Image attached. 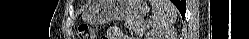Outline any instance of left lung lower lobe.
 I'll return each instance as SVG.
<instances>
[{"label":"left lung lower lobe","mask_w":249,"mask_h":39,"mask_svg":"<svg viewBox=\"0 0 249 39\" xmlns=\"http://www.w3.org/2000/svg\"><path fill=\"white\" fill-rule=\"evenodd\" d=\"M172 2L176 5L182 17H184L185 12H186V1L185 0H172Z\"/></svg>","instance_id":"obj_1"}]
</instances>
